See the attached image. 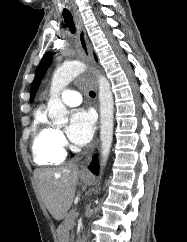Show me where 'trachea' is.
Returning a JSON list of instances; mask_svg holds the SVG:
<instances>
[{"label": "trachea", "mask_w": 187, "mask_h": 242, "mask_svg": "<svg viewBox=\"0 0 187 242\" xmlns=\"http://www.w3.org/2000/svg\"><path fill=\"white\" fill-rule=\"evenodd\" d=\"M63 17L65 20V23L67 25V27L70 29V31L72 33H75L76 29H75V25L73 22V18L70 12H63ZM90 97L94 98L95 97V92L94 91H90L89 92Z\"/></svg>", "instance_id": "1"}]
</instances>
